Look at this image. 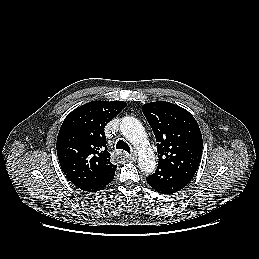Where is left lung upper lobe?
I'll return each mask as SVG.
<instances>
[{"mask_svg":"<svg viewBox=\"0 0 259 259\" xmlns=\"http://www.w3.org/2000/svg\"><path fill=\"white\" fill-rule=\"evenodd\" d=\"M142 110L158 143V167L190 182L198 169L203 147L197 121L184 108L165 101L147 103Z\"/></svg>","mask_w":259,"mask_h":259,"instance_id":"obj_1","label":"left lung upper lobe"}]
</instances>
